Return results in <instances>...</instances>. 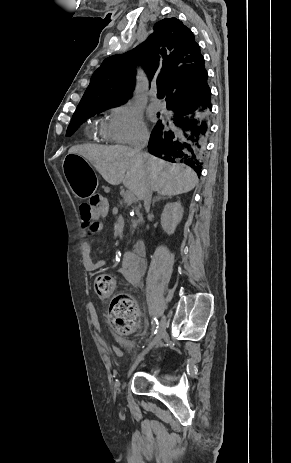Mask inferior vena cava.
<instances>
[{
  "label": "inferior vena cava",
  "instance_id": "inferior-vena-cava-1",
  "mask_svg": "<svg viewBox=\"0 0 291 463\" xmlns=\"http://www.w3.org/2000/svg\"><path fill=\"white\" fill-rule=\"evenodd\" d=\"M149 140L148 134L142 135L139 140L133 146V152L139 156H142V149L147 145ZM152 197V186L149 181H147L143 187L142 191V199L144 201V207L146 212L148 213L150 210V203Z\"/></svg>",
  "mask_w": 291,
  "mask_h": 463
}]
</instances>
